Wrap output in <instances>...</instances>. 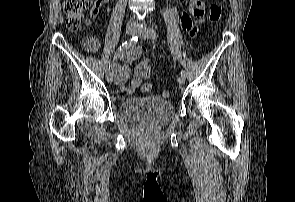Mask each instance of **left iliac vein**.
Masks as SVG:
<instances>
[{"label": "left iliac vein", "mask_w": 295, "mask_h": 202, "mask_svg": "<svg viewBox=\"0 0 295 202\" xmlns=\"http://www.w3.org/2000/svg\"><path fill=\"white\" fill-rule=\"evenodd\" d=\"M137 32L143 40H147L149 38V29L148 28H138ZM178 83H179V85H183L185 83V77L179 76Z\"/></svg>", "instance_id": "4c4485c4"}]
</instances>
